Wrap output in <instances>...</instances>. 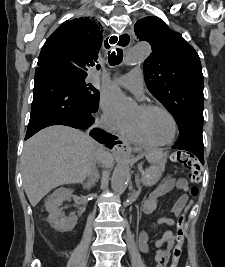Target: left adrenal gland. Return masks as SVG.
I'll list each match as a JSON object with an SVG mask.
<instances>
[{
  "label": "left adrenal gland",
  "instance_id": "left-adrenal-gland-1",
  "mask_svg": "<svg viewBox=\"0 0 225 267\" xmlns=\"http://www.w3.org/2000/svg\"><path fill=\"white\" fill-rule=\"evenodd\" d=\"M136 183H137V187H138V188H141V187H140V181H139V177H138V176H136Z\"/></svg>",
  "mask_w": 225,
  "mask_h": 267
}]
</instances>
